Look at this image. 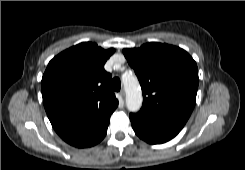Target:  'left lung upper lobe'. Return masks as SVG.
Here are the masks:
<instances>
[{
	"label": "left lung upper lobe",
	"instance_id": "5c2ea615",
	"mask_svg": "<svg viewBox=\"0 0 245 170\" xmlns=\"http://www.w3.org/2000/svg\"><path fill=\"white\" fill-rule=\"evenodd\" d=\"M143 92L140 112L184 126L195 106L199 83L197 64L183 49L147 43L124 49Z\"/></svg>",
	"mask_w": 245,
	"mask_h": 170
}]
</instances>
